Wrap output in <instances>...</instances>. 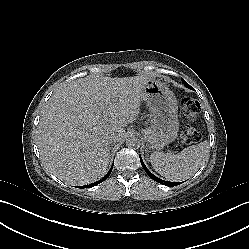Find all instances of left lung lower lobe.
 <instances>
[{"label": "left lung lower lobe", "instance_id": "1", "mask_svg": "<svg viewBox=\"0 0 249 249\" xmlns=\"http://www.w3.org/2000/svg\"><path fill=\"white\" fill-rule=\"evenodd\" d=\"M140 160H141V164H142L143 169L145 170V172H146L153 180H155V181L158 182V183H161L162 185L174 186V183L168 182V181H163V180L157 178L156 176H154L153 174H151V172H149V170H148V169L146 168V166L144 165V163H143L141 157H140Z\"/></svg>", "mask_w": 249, "mask_h": 249}]
</instances>
